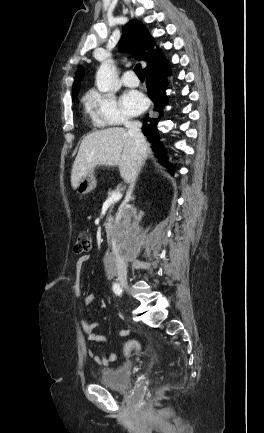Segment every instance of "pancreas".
<instances>
[{"label":"pancreas","mask_w":264,"mask_h":433,"mask_svg":"<svg viewBox=\"0 0 264 433\" xmlns=\"http://www.w3.org/2000/svg\"><path fill=\"white\" fill-rule=\"evenodd\" d=\"M119 191H120L119 188H117V189H115V190H109L108 193H107V195H108V197H110L113 193H115V192H119ZM112 209H113V206H111V208H110V212H112Z\"/></svg>","instance_id":"obj_1"}]
</instances>
